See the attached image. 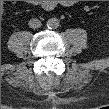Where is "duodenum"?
<instances>
[{
  "mask_svg": "<svg viewBox=\"0 0 109 109\" xmlns=\"http://www.w3.org/2000/svg\"><path fill=\"white\" fill-rule=\"evenodd\" d=\"M35 5H39L40 4V2H36V3H34Z\"/></svg>",
  "mask_w": 109,
  "mask_h": 109,
  "instance_id": "1",
  "label": "duodenum"
}]
</instances>
